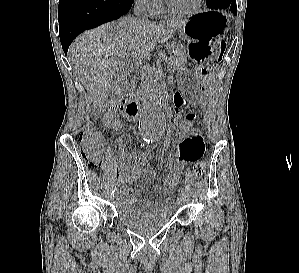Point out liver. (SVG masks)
<instances>
[{"label": "liver", "instance_id": "6515ba94", "mask_svg": "<svg viewBox=\"0 0 299 273\" xmlns=\"http://www.w3.org/2000/svg\"><path fill=\"white\" fill-rule=\"evenodd\" d=\"M186 22L173 19L155 23L124 17L79 36L71 44L68 55L92 97L93 107L101 106L109 95L117 93L115 77L121 67L117 53L142 60L153 51L157 42L168 41Z\"/></svg>", "mask_w": 299, "mask_h": 273}]
</instances>
